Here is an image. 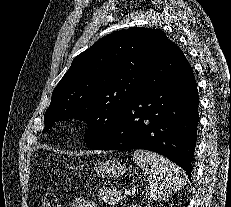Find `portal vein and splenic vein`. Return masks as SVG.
Returning a JSON list of instances; mask_svg holds the SVG:
<instances>
[{
    "label": "portal vein and splenic vein",
    "instance_id": "portal-vein-and-splenic-vein-1",
    "mask_svg": "<svg viewBox=\"0 0 231 207\" xmlns=\"http://www.w3.org/2000/svg\"><path fill=\"white\" fill-rule=\"evenodd\" d=\"M133 190H135V188L126 189V190L124 191V194H125V195H129V194H131V192H132Z\"/></svg>",
    "mask_w": 231,
    "mask_h": 207
}]
</instances>
